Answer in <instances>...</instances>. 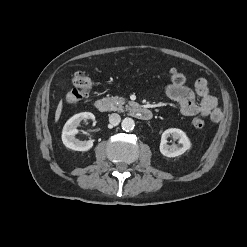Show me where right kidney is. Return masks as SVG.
Returning a JSON list of instances; mask_svg holds the SVG:
<instances>
[{"mask_svg": "<svg viewBox=\"0 0 247 247\" xmlns=\"http://www.w3.org/2000/svg\"><path fill=\"white\" fill-rule=\"evenodd\" d=\"M85 119H95L94 114L90 112H82L72 116L64 125L62 130L63 144L75 151H88L93 146V141H79L75 138L78 133V125Z\"/></svg>", "mask_w": 247, "mask_h": 247, "instance_id": "1", "label": "right kidney"}]
</instances>
